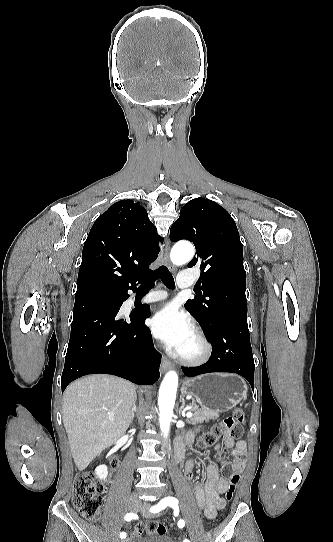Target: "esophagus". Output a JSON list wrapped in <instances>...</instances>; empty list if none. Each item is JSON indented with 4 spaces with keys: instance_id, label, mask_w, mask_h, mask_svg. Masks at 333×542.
<instances>
[{
    "instance_id": "obj_1",
    "label": "esophagus",
    "mask_w": 333,
    "mask_h": 542,
    "mask_svg": "<svg viewBox=\"0 0 333 542\" xmlns=\"http://www.w3.org/2000/svg\"><path fill=\"white\" fill-rule=\"evenodd\" d=\"M169 252H170V241H169V239H167L166 243H165V252H164L163 260H164L165 264L167 265V267L172 272H174L175 267H174V265H172V263H171V261L169 259ZM171 366H172L171 362L166 357H162L161 370L166 371L169 368H171Z\"/></svg>"
}]
</instances>
